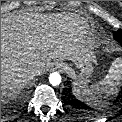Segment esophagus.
I'll return each mask as SVG.
<instances>
[{"instance_id": "1", "label": "esophagus", "mask_w": 122, "mask_h": 122, "mask_svg": "<svg viewBox=\"0 0 122 122\" xmlns=\"http://www.w3.org/2000/svg\"><path fill=\"white\" fill-rule=\"evenodd\" d=\"M52 71H62L65 70V64L60 61H56L51 66Z\"/></svg>"}]
</instances>
